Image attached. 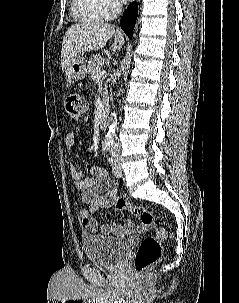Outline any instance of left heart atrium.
Listing matches in <instances>:
<instances>
[{"instance_id":"left-heart-atrium-1","label":"left heart atrium","mask_w":239,"mask_h":303,"mask_svg":"<svg viewBox=\"0 0 239 303\" xmlns=\"http://www.w3.org/2000/svg\"><path fill=\"white\" fill-rule=\"evenodd\" d=\"M121 1L125 2V1H127V0H121Z\"/></svg>"}]
</instances>
